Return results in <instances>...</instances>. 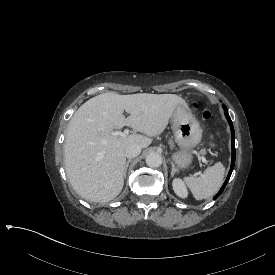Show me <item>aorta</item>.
I'll return each instance as SVG.
<instances>
[{"instance_id": "obj_1", "label": "aorta", "mask_w": 275, "mask_h": 275, "mask_svg": "<svg viewBox=\"0 0 275 275\" xmlns=\"http://www.w3.org/2000/svg\"><path fill=\"white\" fill-rule=\"evenodd\" d=\"M146 164L149 167H159L162 164V157L156 152H151L146 156Z\"/></svg>"}]
</instances>
